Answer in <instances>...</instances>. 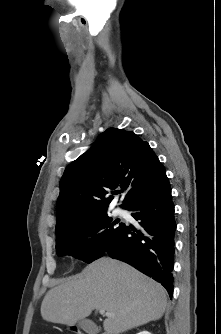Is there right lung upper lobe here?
<instances>
[{"label":"right lung upper lobe","instance_id":"obj_1","mask_svg":"<svg viewBox=\"0 0 221 334\" xmlns=\"http://www.w3.org/2000/svg\"><path fill=\"white\" fill-rule=\"evenodd\" d=\"M165 175L147 142L132 131L107 129L64 171L57 199V237L70 226L107 214L113 199L105 197L109 190H124L121 206L128 209Z\"/></svg>","mask_w":221,"mask_h":334}]
</instances>
